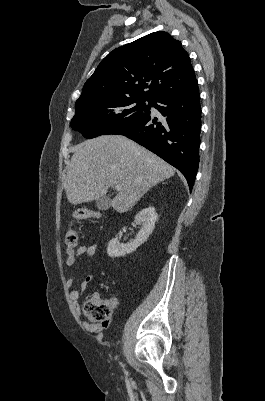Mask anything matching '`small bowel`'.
<instances>
[{"label": "small bowel", "mask_w": 265, "mask_h": 401, "mask_svg": "<svg viewBox=\"0 0 265 401\" xmlns=\"http://www.w3.org/2000/svg\"><path fill=\"white\" fill-rule=\"evenodd\" d=\"M97 249H98L97 244L80 245L73 250L66 249L67 257L65 259V265L67 267L74 266L77 258H79L80 256H83V255H85L87 257H92L93 255H95ZM93 279H94L93 275H87L82 280L80 287L77 289H73L70 292V299H71L74 309L77 313L80 312L79 300L82 296V293L86 289V287L93 281ZM74 281H75V276L72 275L71 277L68 278V280L66 282L67 287L71 288L74 284ZM93 297H99V296H98V294H94ZM108 324H109V321L104 323V326H107ZM84 327L89 332H100L101 331V328L95 324L84 323Z\"/></svg>", "instance_id": "obj_1"}]
</instances>
